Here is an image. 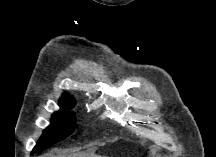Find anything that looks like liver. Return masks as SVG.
I'll return each instance as SVG.
<instances>
[{"mask_svg": "<svg viewBox=\"0 0 216 157\" xmlns=\"http://www.w3.org/2000/svg\"><path fill=\"white\" fill-rule=\"evenodd\" d=\"M45 157H86V154H57L56 156L54 154H46Z\"/></svg>", "mask_w": 216, "mask_h": 157, "instance_id": "6515ba94", "label": "liver"}]
</instances>
